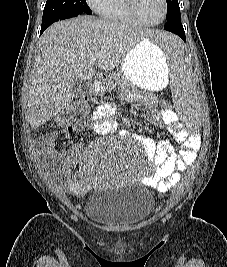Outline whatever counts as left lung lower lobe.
I'll use <instances>...</instances> for the list:
<instances>
[{
	"instance_id": "left-lung-lower-lobe-1",
	"label": "left lung lower lobe",
	"mask_w": 227,
	"mask_h": 267,
	"mask_svg": "<svg viewBox=\"0 0 227 267\" xmlns=\"http://www.w3.org/2000/svg\"><path fill=\"white\" fill-rule=\"evenodd\" d=\"M164 29L177 34L185 41V32L181 23L180 13L168 19L166 24L164 25Z\"/></svg>"
}]
</instances>
